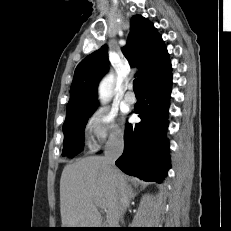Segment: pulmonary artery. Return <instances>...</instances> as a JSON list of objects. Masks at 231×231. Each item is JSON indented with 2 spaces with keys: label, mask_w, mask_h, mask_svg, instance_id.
<instances>
[{
  "label": "pulmonary artery",
  "mask_w": 231,
  "mask_h": 231,
  "mask_svg": "<svg viewBox=\"0 0 231 231\" xmlns=\"http://www.w3.org/2000/svg\"><path fill=\"white\" fill-rule=\"evenodd\" d=\"M132 86H129V91L125 94L124 100L127 104H134L136 101V97L134 93L131 91Z\"/></svg>",
  "instance_id": "pulmonary-artery-1"
}]
</instances>
